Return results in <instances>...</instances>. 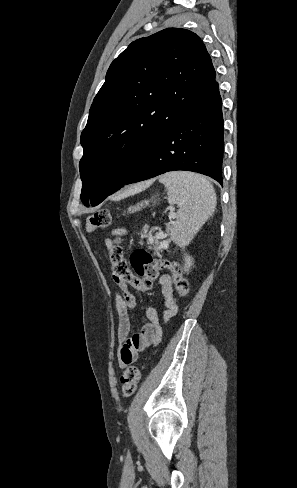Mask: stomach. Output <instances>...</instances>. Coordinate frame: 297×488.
Segmentation results:
<instances>
[{"instance_id": "obj_1", "label": "stomach", "mask_w": 297, "mask_h": 488, "mask_svg": "<svg viewBox=\"0 0 297 488\" xmlns=\"http://www.w3.org/2000/svg\"><path fill=\"white\" fill-rule=\"evenodd\" d=\"M154 199H155V198H154V197H152V199H151V200L153 201ZM149 202H150V200H144V201H142V202H140V203L136 204L135 206H131V207H129V208L127 209V211H128V212H130V213L136 212V211H138V210H140V209L144 208L145 206H147V205L149 204Z\"/></svg>"}]
</instances>
